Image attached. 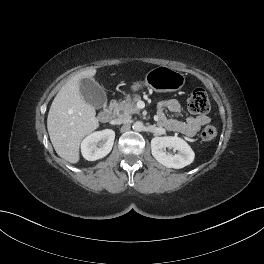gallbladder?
<instances>
[{"label": "gallbladder", "instance_id": "gallbladder-1", "mask_svg": "<svg viewBox=\"0 0 264 264\" xmlns=\"http://www.w3.org/2000/svg\"><path fill=\"white\" fill-rule=\"evenodd\" d=\"M80 93L83 100L94 108H101L107 102L104 89L93 78H84L80 81Z\"/></svg>", "mask_w": 264, "mask_h": 264}]
</instances>
